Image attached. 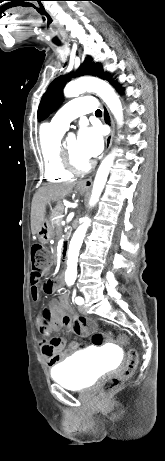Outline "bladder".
I'll return each instance as SVG.
<instances>
[{
	"instance_id": "bladder-1",
	"label": "bladder",
	"mask_w": 165,
	"mask_h": 461,
	"mask_svg": "<svg viewBox=\"0 0 165 461\" xmlns=\"http://www.w3.org/2000/svg\"><path fill=\"white\" fill-rule=\"evenodd\" d=\"M95 352H81L51 370V377L70 390L91 387L106 371L107 364Z\"/></svg>"
}]
</instances>
